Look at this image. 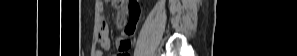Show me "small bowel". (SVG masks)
<instances>
[{
    "label": "small bowel",
    "instance_id": "1",
    "mask_svg": "<svg viewBox=\"0 0 297 56\" xmlns=\"http://www.w3.org/2000/svg\"><path fill=\"white\" fill-rule=\"evenodd\" d=\"M111 3L120 11V14L117 17L116 24L119 28L124 29V33L117 40V47L119 50L118 56H129V36L135 32L136 23L139 16V5L135 0L111 1ZM123 14L129 15L130 20L128 24L125 23ZM98 43L101 49L97 50L95 55L102 56L103 50H109L111 47L109 27L107 21L104 18H102L100 22V28L98 31Z\"/></svg>",
    "mask_w": 297,
    "mask_h": 56
}]
</instances>
